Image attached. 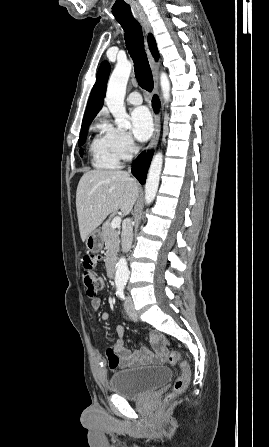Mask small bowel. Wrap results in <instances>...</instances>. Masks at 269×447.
Listing matches in <instances>:
<instances>
[{"mask_svg": "<svg viewBox=\"0 0 269 447\" xmlns=\"http://www.w3.org/2000/svg\"><path fill=\"white\" fill-rule=\"evenodd\" d=\"M101 305V300L99 298H95L91 302V308L95 312L99 309ZM110 314L104 312L100 315L102 320L109 319ZM117 340L114 345L115 351L121 356V365L124 368H130L138 365L139 363H159L163 361L166 357V354L161 346V340H164L168 337V334L164 331H156L154 333L147 334V337H150L151 347L154 349V352L147 346L142 347L139 351L132 352L125 347V329L123 326H118L116 328Z\"/></svg>", "mask_w": 269, "mask_h": 447, "instance_id": "1", "label": "small bowel"}]
</instances>
